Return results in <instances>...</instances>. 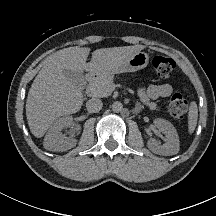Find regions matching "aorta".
Returning a JSON list of instances; mask_svg holds the SVG:
<instances>
[{"instance_id": "aorta-1", "label": "aorta", "mask_w": 216, "mask_h": 216, "mask_svg": "<svg viewBox=\"0 0 216 216\" xmlns=\"http://www.w3.org/2000/svg\"><path fill=\"white\" fill-rule=\"evenodd\" d=\"M122 109H123V105H122L121 102L116 101V102H114V103L112 104V110H113L115 113L121 112Z\"/></svg>"}]
</instances>
